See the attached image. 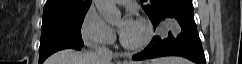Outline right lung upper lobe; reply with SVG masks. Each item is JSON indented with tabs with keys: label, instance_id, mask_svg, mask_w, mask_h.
<instances>
[{
	"label": "right lung upper lobe",
	"instance_id": "right-lung-upper-lobe-1",
	"mask_svg": "<svg viewBox=\"0 0 242 64\" xmlns=\"http://www.w3.org/2000/svg\"><path fill=\"white\" fill-rule=\"evenodd\" d=\"M92 0H47L44 6L45 14L58 12H79L88 10Z\"/></svg>",
	"mask_w": 242,
	"mask_h": 64
}]
</instances>
